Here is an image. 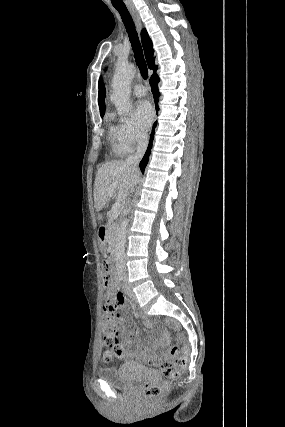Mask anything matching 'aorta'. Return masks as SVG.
<instances>
[{
    "label": "aorta",
    "mask_w": 285,
    "mask_h": 427,
    "mask_svg": "<svg viewBox=\"0 0 285 427\" xmlns=\"http://www.w3.org/2000/svg\"><path fill=\"white\" fill-rule=\"evenodd\" d=\"M135 66L129 63H118L112 79L111 101L120 115L128 114L131 110L130 86L135 75ZM129 219L124 218L117 234L115 261L120 269L124 267V251Z\"/></svg>",
    "instance_id": "762f6f07"
}]
</instances>
